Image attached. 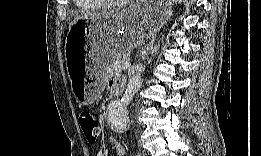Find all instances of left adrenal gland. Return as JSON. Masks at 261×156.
I'll return each mask as SVG.
<instances>
[{
    "label": "left adrenal gland",
    "mask_w": 261,
    "mask_h": 156,
    "mask_svg": "<svg viewBox=\"0 0 261 156\" xmlns=\"http://www.w3.org/2000/svg\"><path fill=\"white\" fill-rule=\"evenodd\" d=\"M154 38L152 41L149 42V44L145 47V50L142 52V59L148 58V55L151 53H155L159 47V45L154 46Z\"/></svg>",
    "instance_id": "left-adrenal-gland-1"
}]
</instances>
